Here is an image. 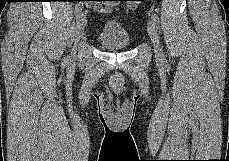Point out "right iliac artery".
<instances>
[{"instance_id": "82829eb1", "label": "right iliac artery", "mask_w": 229, "mask_h": 161, "mask_svg": "<svg viewBox=\"0 0 229 161\" xmlns=\"http://www.w3.org/2000/svg\"><path fill=\"white\" fill-rule=\"evenodd\" d=\"M75 15H76V18L79 19L83 14H82V8L81 6H78L75 10Z\"/></svg>"}]
</instances>
